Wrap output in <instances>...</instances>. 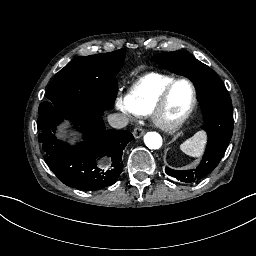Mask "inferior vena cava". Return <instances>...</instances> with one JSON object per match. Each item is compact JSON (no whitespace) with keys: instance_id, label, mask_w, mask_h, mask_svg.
<instances>
[{"instance_id":"inferior-vena-cava-1","label":"inferior vena cava","mask_w":256,"mask_h":256,"mask_svg":"<svg viewBox=\"0 0 256 256\" xmlns=\"http://www.w3.org/2000/svg\"><path fill=\"white\" fill-rule=\"evenodd\" d=\"M107 119H108L110 126H112L113 128H117V129L126 127L129 122V118L124 113L110 114V115H108Z\"/></svg>"}]
</instances>
